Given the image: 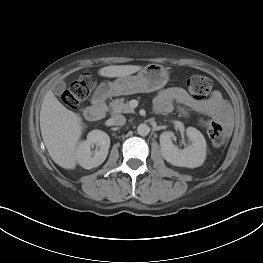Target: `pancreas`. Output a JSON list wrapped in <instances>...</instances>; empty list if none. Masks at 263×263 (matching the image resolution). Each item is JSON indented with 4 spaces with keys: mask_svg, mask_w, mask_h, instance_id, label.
<instances>
[{
    "mask_svg": "<svg viewBox=\"0 0 263 263\" xmlns=\"http://www.w3.org/2000/svg\"><path fill=\"white\" fill-rule=\"evenodd\" d=\"M108 110L111 114L116 113H134L128 102H124V98L112 100L109 104Z\"/></svg>",
    "mask_w": 263,
    "mask_h": 263,
    "instance_id": "pancreas-1",
    "label": "pancreas"
}]
</instances>
